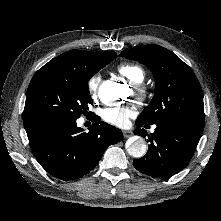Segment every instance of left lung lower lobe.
<instances>
[{
    "mask_svg": "<svg viewBox=\"0 0 221 221\" xmlns=\"http://www.w3.org/2000/svg\"><path fill=\"white\" fill-rule=\"evenodd\" d=\"M135 124L138 128L134 134L146 137L147 132L140 128L144 124L137 121ZM202 133L203 130L180 124H156L154 133L148 135L147 154L134 160L133 165L141 173L154 177L174 175L190 162Z\"/></svg>",
    "mask_w": 221,
    "mask_h": 221,
    "instance_id": "left-lung-lower-lobe-1",
    "label": "left lung lower lobe"
}]
</instances>
